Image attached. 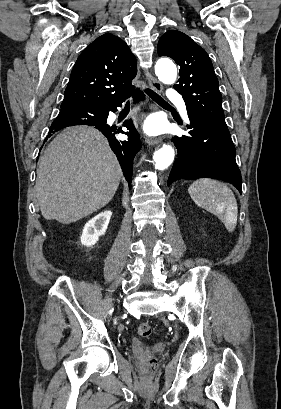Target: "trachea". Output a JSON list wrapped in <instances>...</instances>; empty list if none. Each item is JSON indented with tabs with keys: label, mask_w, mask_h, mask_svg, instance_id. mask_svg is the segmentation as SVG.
I'll return each instance as SVG.
<instances>
[{
	"label": "trachea",
	"mask_w": 281,
	"mask_h": 409,
	"mask_svg": "<svg viewBox=\"0 0 281 409\" xmlns=\"http://www.w3.org/2000/svg\"><path fill=\"white\" fill-rule=\"evenodd\" d=\"M144 91L152 100H154V102L163 104V105H169L168 102H166L160 95H158L153 90L145 89Z\"/></svg>",
	"instance_id": "trachea-1"
}]
</instances>
